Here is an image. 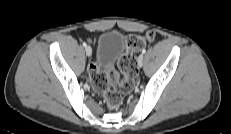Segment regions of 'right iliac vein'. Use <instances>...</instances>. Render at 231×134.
<instances>
[{"instance_id":"right-iliac-vein-1","label":"right iliac vein","mask_w":231,"mask_h":134,"mask_svg":"<svg viewBox=\"0 0 231 134\" xmlns=\"http://www.w3.org/2000/svg\"><path fill=\"white\" fill-rule=\"evenodd\" d=\"M85 52H86V55L90 57L92 55V49H91V47L90 46H86Z\"/></svg>"}]
</instances>
